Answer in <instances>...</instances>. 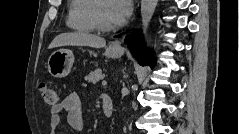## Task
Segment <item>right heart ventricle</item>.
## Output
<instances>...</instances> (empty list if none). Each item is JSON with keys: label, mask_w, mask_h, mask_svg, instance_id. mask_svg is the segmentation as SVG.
<instances>
[{"label": "right heart ventricle", "mask_w": 239, "mask_h": 134, "mask_svg": "<svg viewBox=\"0 0 239 134\" xmlns=\"http://www.w3.org/2000/svg\"><path fill=\"white\" fill-rule=\"evenodd\" d=\"M94 0H72L68 7L67 25L69 28L88 33L95 30L91 20V8Z\"/></svg>", "instance_id": "e07e8e85"}]
</instances>
